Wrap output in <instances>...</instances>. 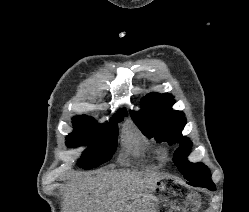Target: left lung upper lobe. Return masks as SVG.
<instances>
[{
  "instance_id": "left-lung-upper-lobe-1",
  "label": "left lung upper lobe",
  "mask_w": 249,
  "mask_h": 212,
  "mask_svg": "<svg viewBox=\"0 0 249 212\" xmlns=\"http://www.w3.org/2000/svg\"><path fill=\"white\" fill-rule=\"evenodd\" d=\"M173 96L170 94L149 93L141 100L142 110L131 111V117L141 131L148 137H155L158 143L179 144L174 153V162L179 171L188 180V184L199 186L211 183V174L203 163H190L186 157L192 143L181 135L186 118L181 111L172 110Z\"/></svg>"
}]
</instances>
